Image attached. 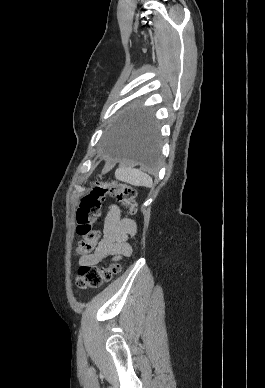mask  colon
<instances>
[{
	"mask_svg": "<svg viewBox=\"0 0 265 388\" xmlns=\"http://www.w3.org/2000/svg\"><path fill=\"white\" fill-rule=\"evenodd\" d=\"M108 196L115 197L128 213H133L136 191L132 186L116 182L94 185L80 199L76 212V233L80 237L76 247L77 254H89L96 246L99 233L94 229V224L100 216L102 201ZM120 269L121 263H111L103 267L81 266L75 283L81 289L99 288L110 281Z\"/></svg>",
	"mask_w": 265,
	"mask_h": 388,
	"instance_id": "colon-1",
	"label": "colon"
}]
</instances>
